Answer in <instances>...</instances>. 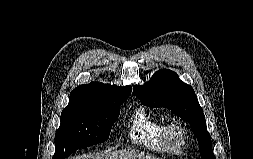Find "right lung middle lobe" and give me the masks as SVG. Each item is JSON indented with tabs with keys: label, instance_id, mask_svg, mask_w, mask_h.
<instances>
[{
	"label": "right lung middle lobe",
	"instance_id": "obj_1",
	"mask_svg": "<svg viewBox=\"0 0 253 159\" xmlns=\"http://www.w3.org/2000/svg\"><path fill=\"white\" fill-rule=\"evenodd\" d=\"M124 102L125 100L69 102L61 113L52 159H65L77 149L106 141L111 126L119 117L120 105Z\"/></svg>",
	"mask_w": 253,
	"mask_h": 159
}]
</instances>
